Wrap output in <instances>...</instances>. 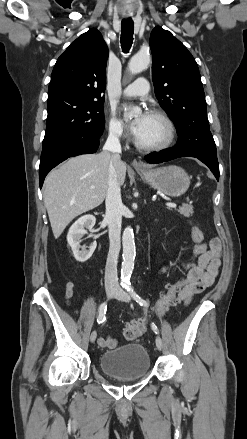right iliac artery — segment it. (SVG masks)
Here are the masks:
<instances>
[{"mask_svg":"<svg viewBox=\"0 0 247 439\" xmlns=\"http://www.w3.org/2000/svg\"><path fill=\"white\" fill-rule=\"evenodd\" d=\"M122 287H125V284H122ZM106 310H107V304L106 303H102L100 305V307H99V315H98V318H97V323L98 324L104 322Z\"/></svg>","mask_w":247,"mask_h":439,"instance_id":"right-iliac-artery-1","label":"right iliac artery"}]
</instances>
